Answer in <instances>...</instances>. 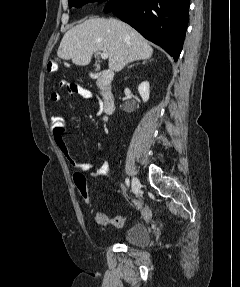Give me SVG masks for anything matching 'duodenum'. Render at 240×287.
Here are the masks:
<instances>
[{"mask_svg": "<svg viewBox=\"0 0 240 287\" xmlns=\"http://www.w3.org/2000/svg\"><path fill=\"white\" fill-rule=\"evenodd\" d=\"M92 77L99 82L101 86H103V109L106 114H111L115 108V101L110 92L106 90L107 85L110 83L112 79V72L107 69H102L100 72L95 73Z\"/></svg>", "mask_w": 240, "mask_h": 287, "instance_id": "obj_1", "label": "duodenum"}]
</instances>
